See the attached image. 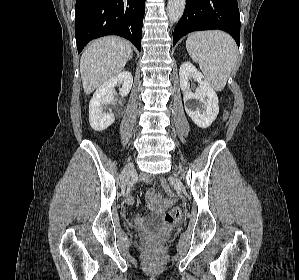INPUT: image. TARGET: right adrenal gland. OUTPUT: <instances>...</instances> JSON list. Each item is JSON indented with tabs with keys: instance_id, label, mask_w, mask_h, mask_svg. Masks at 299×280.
Masks as SVG:
<instances>
[{
	"instance_id": "obj_1",
	"label": "right adrenal gland",
	"mask_w": 299,
	"mask_h": 280,
	"mask_svg": "<svg viewBox=\"0 0 299 280\" xmlns=\"http://www.w3.org/2000/svg\"><path fill=\"white\" fill-rule=\"evenodd\" d=\"M132 57H133V53H131L130 59H132Z\"/></svg>"
}]
</instances>
